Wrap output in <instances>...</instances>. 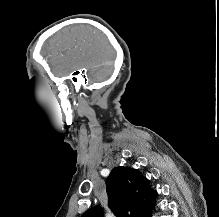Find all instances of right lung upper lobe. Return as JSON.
Returning <instances> with one entry per match:
<instances>
[{"label":"right lung upper lobe","mask_w":219,"mask_h":217,"mask_svg":"<svg viewBox=\"0 0 219 217\" xmlns=\"http://www.w3.org/2000/svg\"><path fill=\"white\" fill-rule=\"evenodd\" d=\"M109 207L117 217H151L157 192L137 169L114 168L106 181ZM82 217H103L98 206Z\"/></svg>","instance_id":"obj_1"}]
</instances>
